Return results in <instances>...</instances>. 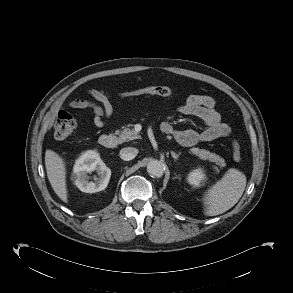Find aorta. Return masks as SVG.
Here are the masks:
<instances>
[{"label": "aorta", "mask_w": 293, "mask_h": 293, "mask_svg": "<svg viewBox=\"0 0 293 293\" xmlns=\"http://www.w3.org/2000/svg\"><path fill=\"white\" fill-rule=\"evenodd\" d=\"M147 172L152 177H162L164 174V165L161 161L151 160L147 165Z\"/></svg>", "instance_id": "762f6f07"}]
</instances>
